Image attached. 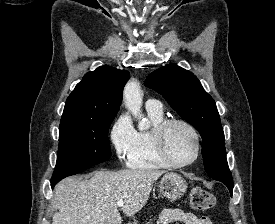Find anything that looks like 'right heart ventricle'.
Segmentation results:
<instances>
[{
  "mask_svg": "<svg viewBox=\"0 0 275 224\" xmlns=\"http://www.w3.org/2000/svg\"><path fill=\"white\" fill-rule=\"evenodd\" d=\"M147 114L152 127L149 130L136 131L135 144L127 157V165L136 170L166 169L168 166L158 159L151 140L153 129L165 119L164 113L162 110L147 109Z\"/></svg>",
  "mask_w": 275,
  "mask_h": 224,
  "instance_id": "e07e8e85",
  "label": "right heart ventricle"
}]
</instances>
